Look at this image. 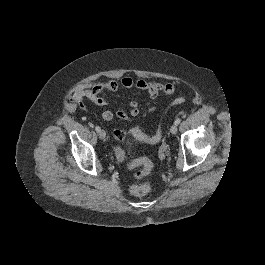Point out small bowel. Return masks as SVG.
I'll return each mask as SVG.
<instances>
[{
    "instance_id": "1",
    "label": "small bowel",
    "mask_w": 265,
    "mask_h": 265,
    "mask_svg": "<svg viewBox=\"0 0 265 265\" xmlns=\"http://www.w3.org/2000/svg\"><path fill=\"white\" fill-rule=\"evenodd\" d=\"M165 86H169L171 88L172 91L170 94L174 92V88L171 84H159L146 80H134L129 76H124L120 79V81L110 79L106 81L83 83L77 88V96L79 99L85 98L97 105L103 106L108 103V94L117 92L121 87L146 91L149 97L154 99L158 96L160 91L164 92ZM156 110V106H152L149 108L148 112L149 114H154ZM129 114L131 116H137L139 114L137 102L132 101L129 104ZM116 115L120 119H126L128 117L127 113L123 110L117 111ZM102 118L105 121H111L114 118V115L111 111H104L102 113Z\"/></svg>"
}]
</instances>
